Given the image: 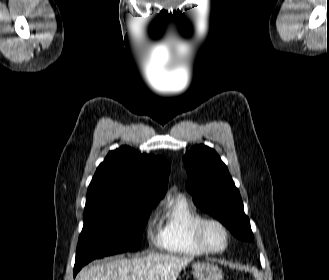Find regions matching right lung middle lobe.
<instances>
[{
    "instance_id": "1",
    "label": "right lung middle lobe",
    "mask_w": 329,
    "mask_h": 280,
    "mask_svg": "<svg viewBox=\"0 0 329 280\" xmlns=\"http://www.w3.org/2000/svg\"><path fill=\"white\" fill-rule=\"evenodd\" d=\"M160 199H116L84 213L74 276L87 263L105 256L136 251L151 209Z\"/></svg>"
}]
</instances>
